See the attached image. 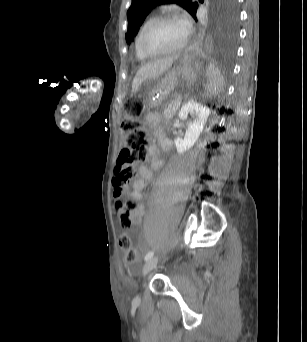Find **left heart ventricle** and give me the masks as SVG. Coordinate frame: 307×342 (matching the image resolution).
<instances>
[{"label": "left heart ventricle", "instance_id": "left-heart-ventricle-1", "mask_svg": "<svg viewBox=\"0 0 307 342\" xmlns=\"http://www.w3.org/2000/svg\"><path fill=\"white\" fill-rule=\"evenodd\" d=\"M184 38L182 27L174 22H161L145 39V48L152 53H160L177 47Z\"/></svg>", "mask_w": 307, "mask_h": 342}]
</instances>
